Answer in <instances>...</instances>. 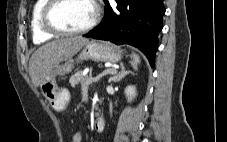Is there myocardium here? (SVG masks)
Returning a JSON list of instances; mask_svg holds the SVG:
<instances>
[{
	"label": "myocardium",
	"mask_w": 227,
	"mask_h": 142,
	"mask_svg": "<svg viewBox=\"0 0 227 142\" xmlns=\"http://www.w3.org/2000/svg\"><path fill=\"white\" fill-rule=\"evenodd\" d=\"M65 1L66 0H48L41 12V23L44 30L54 35L68 36L85 33L96 26L99 21V8L93 0H91V2L94 7V16L87 25L78 29H64L58 26L54 20V13Z\"/></svg>",
	"instance_id": "obj_1"
}]
</instances>
